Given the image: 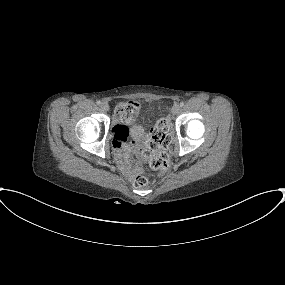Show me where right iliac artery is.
<instances>
[{
  "label": "right iliac artery",
  "mask_w": 285,
  "mask_h": 285,
  "mask_svg": "<svg viewBox=\"0 0 285 285\" xmlns=\"http://www.w3.org/2000/svg\"><path fill=\"white\" fill-rule=\"evenodd\" d=\"M96 103H97V105H101V101H97Z\"/></svg>",
  "instance_id": "1"
}]
</instances>
